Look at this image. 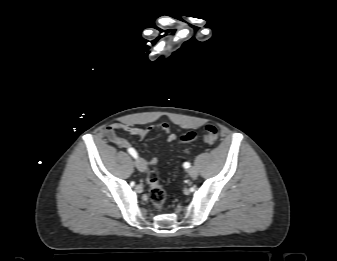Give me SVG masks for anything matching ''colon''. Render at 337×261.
Segmentation results:
<instances>
[{
    "label": "colon",
    "instance_id": "colon-1",
    "mask_svg": "<svg viewBox=\"0 0 337 261\" xmlns=\"http://www.w3.org/2000/svg\"><path fill=\"white\" fill-rule=\"evenodd\" d=\"M218 138V129L214 125H206L204 132L201 135L195 132H188L180 137L182 143H191L196 140H201L204 143H213ZM146 183L149 187V196L153 205L161 210L165 200L166 193L159 183V176L156 171L151 170L146 175Z\"/></svg>",
    "mask_w": 337,
    "mask_h": 261
}]
</instances>
